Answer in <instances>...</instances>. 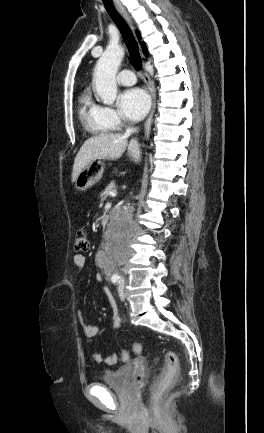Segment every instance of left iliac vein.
I'll return each mask as SVG.
<instances>
[{"instance_id": "4c4485c4", "label": "left iliac vein", "mask_w": 264, "mask_h": 433, "mask_svg": "<svg viewBox=\"0 0 264 433\" xmlns=\"http://www.w3.org/2000/svg\"><path fill=\"white\" fill-rule=\"evenodd\" d=\"M124 285H125V281L124 279L120 280L119 282V286H118V294L121 300L125 299V295H124Z\"/></svg>"}]
</instances>
